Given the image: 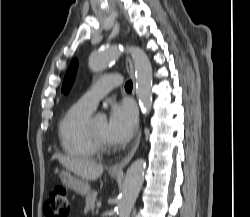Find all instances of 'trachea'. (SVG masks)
I'll list each match as a JSON object with an SVG mask.
<instances>
[{
	"instance_id": "trachea-1",
	"label": "trachea",
	"mask_w": 250,
	"mask_h": 217,
	"mask_svg": "<svg viewBox=\"0 0 250 217\" xmlns=\"http://www.w3.org/2000/svg\"><path fill=\"white\" fill-rule=\"evenodd\" d=\"M132 87H133L132 81L131 80L127 81L125 84V89L132 90Z\"/></svg>"
}]
</instances>
